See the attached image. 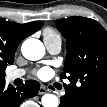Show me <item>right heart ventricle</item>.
I'll return each mask as SVG.
<instances>
[{
    "label": "right heart ventricle",
    "instance_id": "e07e8e85",
    "mask_svg": "<svg viewBox=\"0 0 107 107\" xmlns=\"http://www.w3.org/2000/svg\"><path fill=\"white\" fill-rule=\"evenodd\" d=\"M43 36H44V40H51V39L60 38V35L52 28H46L43 31Z\"/></svg>",
    "mask_w": 107,
    "mask_h": 107
}]
</instances>
